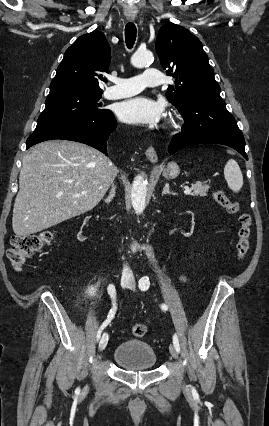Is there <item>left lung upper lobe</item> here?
<instances>
[{"label":"left lung upper lobe","mask_w":269,"mask_h":426,"mask_svg":"<svg viewBox=\"0 0 269 426\" xmlns=\"http://www.w3.org/2000/svg\"><path fill=\"white\" fill-rule=\"evenodd\" d=\"M160 63L167 75L175 78L169 86L167 99L178 110L200 97H220V87L202 43L186 28L174 23L164 24L155 45Z\"/></svg>","instance_id":"1"}]
</instances>
